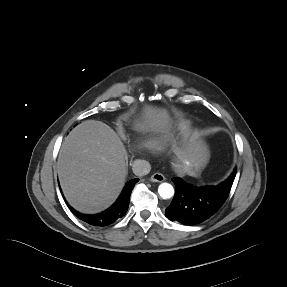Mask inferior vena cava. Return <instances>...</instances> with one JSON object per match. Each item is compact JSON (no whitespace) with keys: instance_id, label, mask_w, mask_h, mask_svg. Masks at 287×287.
<instances>
[{"instance_id":"1","label":"inferior vena cava","mask_w":287,"mask_h":287,"mask_svg":"<svg viewBox=\"0 0 287 287\" xmlns=\"http://www.w3.org/2000/svg\"><path fill=\"white\" fill-rule=\"evenodd\" d=\"M133 173L137 176L147 175L151 170V165L146 160L136 159L132 163Z\"/></svg>"}]
</instances>
